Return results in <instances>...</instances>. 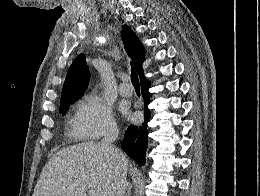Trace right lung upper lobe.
<instances>
[{
  "label": "right lung upper lobe",
  "instance_id": "cb5924a9",
  "mask_svg": "<svg viewBox=\"0 0 260 196\" xmlns=\"http://www.w3.org/2000/svg\"><path fill=\"white\" fill-rule=\"evenodd\" d=\"M122 39L124 47L131 58L132 63L141 80L145 79L142 64L145 60V49L136 34L127 26L123 25ZM90 72L85 61V56L80 54L70 66L65 83L63 85L60 109L79 99L87 89Z\"/></svg>",
  "mask_w": 260,
  "mask_h": 196
}]
</instances>
